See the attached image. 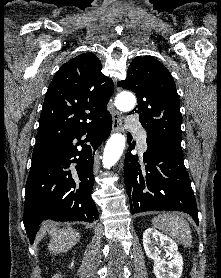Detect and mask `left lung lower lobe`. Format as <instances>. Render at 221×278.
Returning a JSON list of instances; mask_svg holds the SVG:
<instances>
[{
	"label": "left lung lower lobe",
	"instance_id": "0a47b994",
	"mask_svg": "<svg viewBox=\"0 0 221 278\" xmlns=\"http://www.w3.org/2000/svg\"><path fill=\"white\" fill-rule=\"evenodd\" d=\"M148 149L140 164L129 144L125 157L124 182L131 214L145 211H183L198 224V210L184 166L181 139H146Z\"/></svg>",
	"mask_w": 221,
	"mask_h": 278
}]
</instances>
